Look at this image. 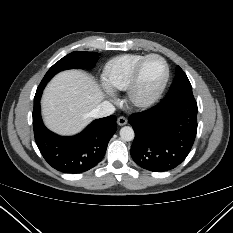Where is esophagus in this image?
<instances>
[{"instance_id": "34e87169", "label": "esophagus", "mask_w": 233, "mask_h": 233, "mask_svg": "<svg viewBox=\"0 0 233 233\" xmlns=\"http://www.w3.org/2000/svg\"><path fill=\"white\" fill-rule=\"evenodd\" d=\"M117 123H118L119 126L126 125V124H127V118L124 117V116H120V117L117 119Z\"/></svg>"}]
</instances>
